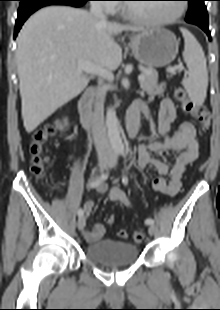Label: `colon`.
I'll list each match as a JSON object with an SVG mask.
<instances>
[{
  "mask_svg": "<svg viewBox=\"0 0 220 310\" xmlns=\"http://www.w3.org/2000/svg\"><path fill=\"white\" fill-rule=\"evenodd\" d=\"M174 96L180 103L182 110L192 116L199 124L203 133L210 129L211 116L208 109L202 105L192 101L183 87H177L174 91ZM59 125H49L35 132L33 142L30 146L31 153V171L36 175H41L50 166V158L45 154V144L59 131ZM115 221L114 215H109L106 218L108 224H113ZM118 236L122 239L129 237L126 230H120ZM131 239L140 243L144 239L142 232L136 231L131 234Z\"/></svg>",
  "mask_w": 220,
  "mask_h": 310,
  "instance_id": "colon-1",
  "label": "colon"
}]
</instances>
